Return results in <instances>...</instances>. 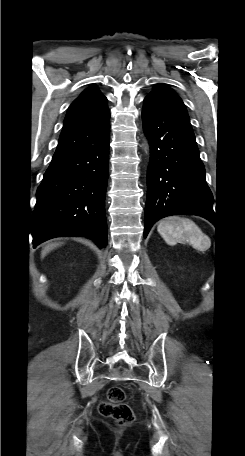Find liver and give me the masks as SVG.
Listing matches in <instances>:
<instances>
[{"label": "liver", "instance_id": "obj_1", "mask_svg": "<svg viewBox=\"0 0 245 456\" xmlns=\"http://www.w3.org/2000/svg\"><path fill=\"white\" fill-rule=\"evenodd\" d=\"M57 246H59V243H51V244L45 246L41 252V257L44 258L47 255V253H49L51 250H53Z\"/></svg>", "mask_w": 245, "mask_h": 456}]
</instances>
